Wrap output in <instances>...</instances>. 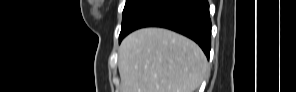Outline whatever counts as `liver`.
I'll list each match as a JSON object with an SVG mask.
<instances>
[{
    "label": "liver",
    "mask_w": 296,
    "mask_h": 92,
    "mask_svg": "<svg viewBox=\"0 0 296 92\" xmlns=\"http://www.w3.org/2000/svg\"><path fill=\"white\" fill-rule=\"evenodd\" d=\"M118 53L121 92H194L208 70L195 42L163 28L134 31Z\"/></svg>",
    "instance_id": "obj_1"
}]
</instances>
